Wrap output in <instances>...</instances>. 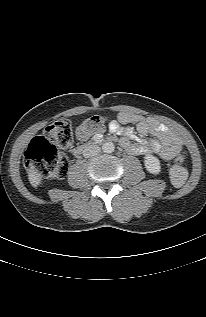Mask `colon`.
Returning <instances> with one entry per match:
<instances>
[{"mask_svg": "<svg viewBox=\"0 0 206 317\" xmlns=\"http://www.w3.org/2000/svg\"><path fill=\"white\" fill-rule=\"evenodd\" d=\"M106 126V118L95 115L86 119L78 128L82 138L102 132ZM73 143V131L68 120H58L48 126L43 134L36 136L30 142L25 153V165L48 179H63L69 169V162L58 147L67 148ZM185 157L176 156L170 171L171 181L180 186L187 179L188 172L183 166Z\"/></svg>", "mask_w": 206, "mask_h": 317, "instance_id": "colon-1", "label": "colon"}]
</instances>
